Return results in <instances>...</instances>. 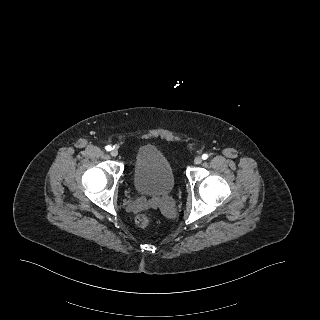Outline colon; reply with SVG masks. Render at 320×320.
<instances>
[{
    "instance_id": "colon-1",
    "label": "colon",
    "mask_w": 320,
    "mask_h": 320,
    "mask_svg": "<svg viewBox=\"0 0 320 320\" xmlns=\"http://www.w3.org/2000/svg\"><path fill=\"white\" fill-rule=\"evenodd\" d=\"M136 224L139 227L146 228L151 225L152 220L148 215L142 214L136 217Z\"/></svg>"
}]
</instances>
